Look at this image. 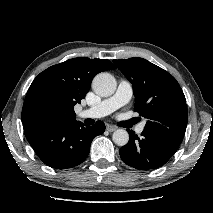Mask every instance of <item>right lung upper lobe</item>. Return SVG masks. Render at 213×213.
Masks as SVG:
<instances>
[{
    "instance_id": "obj_1",
    "label": "right lung upper lobe",
    "mask_w": 213,
    "mask_h": 213,
    "mask_svg": "<svg viewBox=\"0 0 213 213\" xmlns=\"http://www.w3.org/2000/svg\"><path fill=\"white\" fill-rule=\"evenodd\" d=\"M115 68L107 59L85 57L47 68L27 91L21 114L23 124L66 125L76 121L74 106L85 98L93 77Z\"/></svg>"
}]
</instances>
